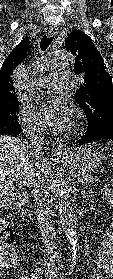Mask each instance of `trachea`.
<instances>
[{"mask_svg": "<svg viewBox=\"0 0 113 279\" xmlns=\"http://www.w3.org/2000/svg\"><path fill=\"white\" fill-rule=\"evenodd\" d=\"M53 40V37H47V36H43V38L40 41V48L42 51H45L48 46L51 44Z\"/></svg>", "mask_w": 113, "mask_h": 279, "instance_id": "obj_1", "label": "trachea"}]
</instances>
